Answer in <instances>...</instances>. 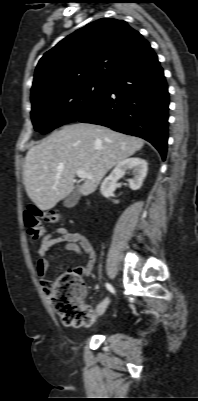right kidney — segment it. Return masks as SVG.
I'll use <instances>...</instances> for the list:
<instances>
[{"mask_svg": "<svg viewBox=\"0 0 198 401\" xmlns=\"http://www.w3.org/2000/svg\"><path fill=\"white\" fill-rule=\"evenodd\" d=\"M129 169H132L133 174V178L128 180L130 188L132 190H138L146 177L148 167L144 159L134 157L121 161L111 174L104 179L100 187L101 194L106 198L113 197V192L116 189V182L122 178ZM115 202L117 203L118 201Z\"/></svg>", "mask_w": 198, "mask_h": 401, "instance_id": "ca27d5eb", "label": "right kidney"}]
</instances>
